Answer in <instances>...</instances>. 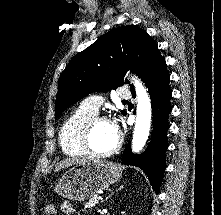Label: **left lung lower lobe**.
Instances as JSON below:
<instances>
[{"label": "left lung lower lobe", "mask_w": 221, "mask_h": 215, "mask_svg": "<svg viewBox=\"0 0 221 215\" xmlns=\"http://www.w3.org/2000/svg\"><path fill=\"white\" fill-rule=\"evenodd\" d=\"M143 82L148 88L152 112H153V132L148 148L141 155L132 153L127 145L123 152L122 162L125 165H134L143 170L151 181L156 192L162 182L165 169V151L168 147L166 132L169 128L168 114L171 112L169 88L170 75L166 68L164 59L154 64L143 76ZM135 97L134 88L131 89Z\"/></svg>", "instance_id": "left-lung-lower-lobe-1"}]
</instances>
